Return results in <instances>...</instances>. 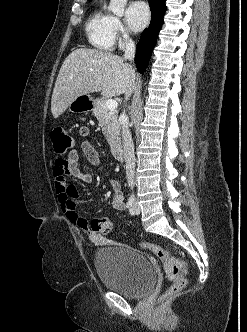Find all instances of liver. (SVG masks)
Listing matches in <instances>:
<instances>
[{
    "label": "liver",
    "mask_w": 247,
    "mask_h": 332,
    "mask_svg": "<svg viewBox=\"0 0 247 332\" xmlns=\"http://www.w3.org/2000/svg\"><path fill=\"white\" fill-rule=\"evenodd\" d=\"M135 72L112 53L78 48L63 62L51 99V112L58 118L80 95L101 92L104 97L126 94L132 89Z\"/></svg>",
    "instance_id": "liver-1"
}]
</instances>
